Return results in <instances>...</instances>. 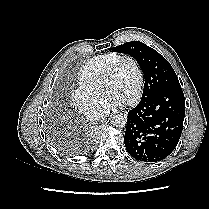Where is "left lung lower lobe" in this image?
<instances>
[{"label":"left lung lower lobe","mask_w":209,"mask_h":209,"mask_svg":"<svg viewBox=\"0 0 209 209\" xmlns=\"http://www.w3.org/2000/svg\"><path fill=\"white\" fill-rule=\"evenodd\" d=\"M184 116L185 99L180 84L142 97L128 112L124 136L128 153L144 162L165 159L178 144Z\"/></svg>","instance_id":"0a47b994"}]
</instances>
